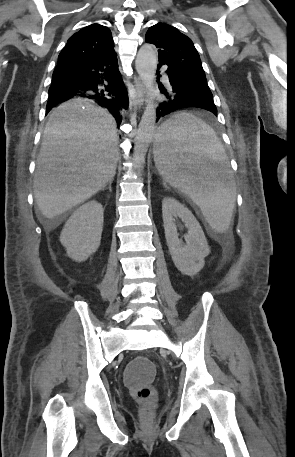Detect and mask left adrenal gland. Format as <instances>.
Here are the masks:
<instances>
[{
  "label": "left adrenal gland",
  "mask_w": 295,
  "mask_h": 457,
  "mask_svg": "<svg viewBox=\"0 0 295 457\" xmlns=\"http://www.w3.org/2000/svg\"><path fill=\"white\" fill-rule=\"evenodd\" d=\"M163 185H164V187H165L166 189H168V187L166 186V184H165V183H163Z\"/></svg>",
  "instance_id": "a2214340"
}]
</instances>
